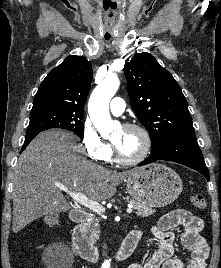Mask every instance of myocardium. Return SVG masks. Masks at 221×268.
Listing matches in <instances>:
<instances>
[{
    "instance_id": "f54148a6",
    "label": "myocardium",
    "mask_w": 221,
    "mask_h": 268,
    "mask_svg": "<svg viewBox=\"0 0 221 268\" xmlns=\"http://www.w3.org/2000/svg\"><path fill=\"white\" fill-rule=\"evenodd\" d=\"M122 128L126 129V130L139 131L144 138V147H143L141 153L137 157L128 159V158H125L121 155V153L119 152L116 145L112 142L115 160L118 163H120L122 165H127V166L136 165V164L141 163L143 160L146 159V157L150 153V150L152 147V139H151V135H150L149 131L144 126H142L140 124H136V123L125 124V125H123Z\"/></svg>"
}]
</instances>
